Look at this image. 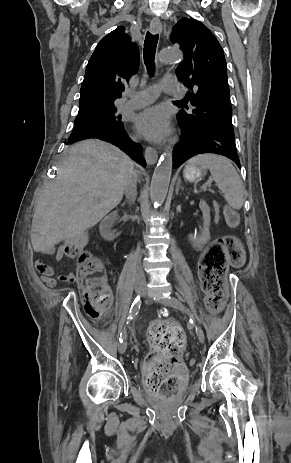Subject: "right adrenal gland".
Returning <instances> with one entry per match:
<instances>
[{
    "label": "right adrenal gland",
    "mask_w": 291,
    "mask_h": 463,
    "mask_svg": "<svg viewBox=\"0 0 291 463\" xmlns=\"http://www.w3.org/2000/svg\"><path fill=\"white\" fill-rule=\"evenodd\" d=\"M125 205H126V203H123V204H122V206H125Z\"/></svg>",
    "instance_id": "obj_1"
}]
</instances>
